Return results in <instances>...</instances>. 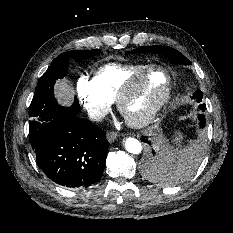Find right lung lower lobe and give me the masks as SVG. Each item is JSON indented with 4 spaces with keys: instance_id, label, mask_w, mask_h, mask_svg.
<instances>
[{
    "instance_id": "98d812e1",
    "label": "right lung lower lobe",
    "mask_w": 233,
    "mask_h": 233,
    "mask_svg": "<svg viewBox=\"0 0 233 233\" xmlns=\"http://www.w3.org/2000/svg\"><path fill=\"white\" fill-rule=\"evenodd\" d=\"M77 114V110H64L49 122L35 149L36 162L57 184L87 188L104 171L109 143L103 130Z\"/></svg>"
}]
</instances>
